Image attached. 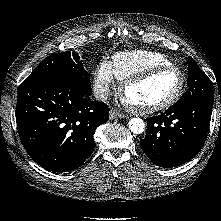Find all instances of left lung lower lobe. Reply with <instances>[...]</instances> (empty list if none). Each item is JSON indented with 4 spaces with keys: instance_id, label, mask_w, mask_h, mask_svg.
Returning <instances> with one entry per match:
<instances>
[{
    "instance_id": "obj_1",
    "label": "left lung lower lobe",
    "mask_w": 221,
    "mask_h": 221,
    "mask_svg": "<svg viewBox=\"0 0 221 221\" xmlns=\"http://www.w3.org/2000/svg\"><path fill=\"white\" fill-rule=\"evenodd\" d=\"M212 107L211 99L192 98L147 118L146 136L141 140L143 152L163 168L188 162L204 145Z\"/></svg>"
}]
</instances>
